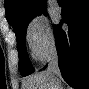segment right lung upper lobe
<instances>
[{
    "label": "right lung upper lobe",
    "instance_id": "obj_1",
    "mask_svg": "<svg viewBox=\"0 0 89 89\" xmlns=\"http://www.w3.org/2000/svg\"><path fill=\"white\" fill-rule=\"evenodd\" d=\"M6 18L14 27L17 23L45 11L44 0H5Z\"/></svg>",
    "mask_w": 89,
    "mask_h": 89
}]
</instances>
